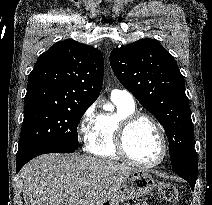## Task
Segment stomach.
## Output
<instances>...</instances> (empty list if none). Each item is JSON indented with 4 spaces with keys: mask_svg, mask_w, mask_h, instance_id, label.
I'll return each mask as SVG.
<instances>
[{
    "mask_svg": "<svg viewBox=\"0 0 212 205\" xmlns=\"http://www.w3.org/2000/svg\"><path fill=\"white\" fill-rule=\"evenodd\" d=\"M152 175L134 169L117 179L95 205H120L134 198L149 194L155 188Z\"/></svg>",
    "mask_w": 212,
    "mask_h": 205,
    "instance_id": "1",
    "label": "stomach"
}]
</instances>
